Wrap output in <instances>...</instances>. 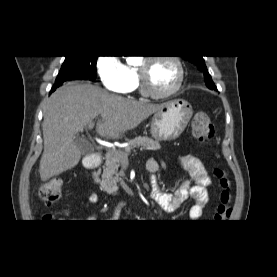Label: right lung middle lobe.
Listing matches in <instances>:
<instances>
[{
  "mask_svg": "<svg viewBox=\"0 0 277 277\" xmlns=\"http://www.w3.org/2000/svg\"><path fill=\"white\" fill-rule=\"evenodd\" d=\"M97 58L98 56H65L58 76L61 74H79V76L92 81L96 75Z\"/></svg>",
  "mask_w": 277,
  "mask_h": 277,
  "instance_id": "obj_1",
  "label": "right lung middle lobe"
}]
</instances>
